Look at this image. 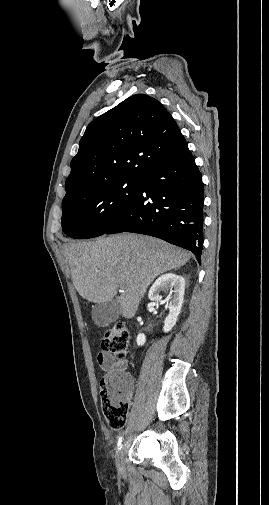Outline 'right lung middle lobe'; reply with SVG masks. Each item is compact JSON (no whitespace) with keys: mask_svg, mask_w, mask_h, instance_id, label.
<instances>
[{"mask_svg":"<svg viewBox=\"0 0 269 505\" xmlns=\"http://www.w3.org/2000/svg\"><path fill=\"white\" fill-rule=\"evenodd\" d=\"M139 179H122L86 189L62 202V229L72 238L103 235L126 211Z\"/></svg>","mask_w":269,"mask_h":505,"instance_id":"right-lung-middle-lobe-1","label":"right lung middle lobe"}]
</instances>
